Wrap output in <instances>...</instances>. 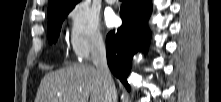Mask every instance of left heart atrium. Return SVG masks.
Segmentation results:
<instances>
[{
    "label": "left heart atrium",
    "mask_w": 221,
    "mask_h": 102,
    "mask_svg": "<svg viewBox=\"0 0 221 102\" xmlns=\"http://www.w3.org/2000/svg\"><path fill=\"white\" fill-rule=\"evenodd\" d=\"M105 21H106L107 26L112 27L117 24L118 18L113 12H110L106 15Z\"/></svg>",
    "instance_id": "obj_1"
}]
</instances>
